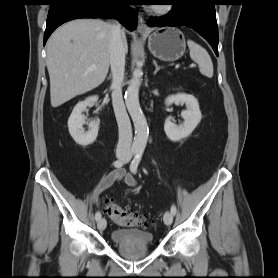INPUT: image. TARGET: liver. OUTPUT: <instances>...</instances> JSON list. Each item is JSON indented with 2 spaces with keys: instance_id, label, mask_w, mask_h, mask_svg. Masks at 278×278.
<instances>
[{
  "instance_id": "6515ba94",
  "label": "liver",
  "mask_w": 278,
  "mask_h": 278,
  "mask_svg": "<svg viewBox=\"0 0 278 278\" xmlns=\"http://www.w3.org/2000/svg\"><path fill=\"white\" fill-rule=\"evenodd\" d=\"M125 53L128 45L122 31ZM111 25L99 19H76L54 31L47 43L50 98L56 108L98 87L110 65ZM95 65L96 70H89Z\"/></svg>"
}]
</instances>
